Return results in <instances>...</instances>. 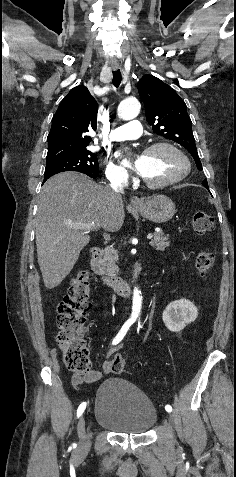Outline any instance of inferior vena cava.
I'll return each instance as SVG.
<instances>
[{"mask_svg": "<svg viewBox=\"0 0 236 477\" xmlns=\"http://www.w3.org/2000/svg\"><path fill=\"white\" fill-rule=\"evenodd\" d=\"M124 184H125L124 181L121 180V179L114 180L111 183V188H112V191L114 192L115 196L121 197V195L124 192Z\"/></svg>", "mask_w": 236, "mask_h": 477, "instance_id": "inferior-vena-cava-1", "label": "inferior vena cava"}]
</instances>
